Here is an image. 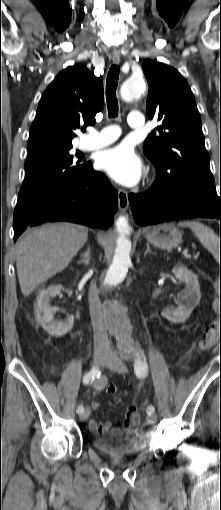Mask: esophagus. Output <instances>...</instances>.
<instances>
[{
	"instance_id": "34e87169",
	"label": "esophagus",
	"mask_w": 221,
	"mask_h": 510,
	"mask_svg": "<svg viewBox=\"0 0 221 510\" xmlns=\"http://www.w3.org/2000/svg\"><path fill=\"white\" fill-rule=\"evenodd\" d=\"M112 60L114 64L120 63V54L118 52H114L112 54ZM118 205L121 211H125L128 208L129 200L128 194L125 190L120 189L118 191Z\"/></svg>"
}]
</instances>
